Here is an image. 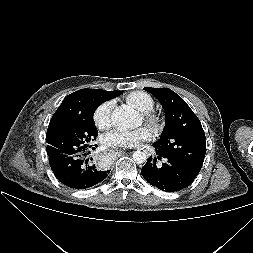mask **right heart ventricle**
<instances>
[{
    "label": "right heart ventricle",
    "instance_id": "right-heart-ventricle-1",
    "mask_svg": "<svg viewBox=\"0 0 253 253\" xmlns=\"http://www.w3.org/2000/svg\"><path fill=\"white\" fill-rule=\"evenodd\" d=\"M126 101L140 111L152 110L155 106L154 98L144 91H133L126 96Z\"/></svg>",
    "mask_w": 253,
    "mask_h": 253
}]
</instances>
